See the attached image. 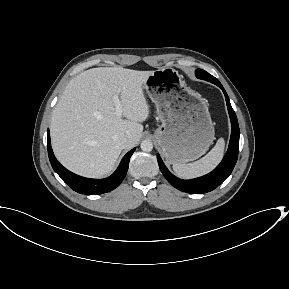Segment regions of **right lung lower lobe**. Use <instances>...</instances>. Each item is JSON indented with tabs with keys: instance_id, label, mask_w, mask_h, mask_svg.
Segmentation results:
<instances>
[{
	"instance_id": "right-lung-lower-lobe-1",
	"label": "right lung lower lobe",
	"mask_w": 289,
	"mask_h": 289,
	"mask_svg": "<svg viewBox=\"0 0 289 289\" xmlns=\"http://www.w3.org/2000/svg\"><path fill=\"white\" fill-rule=\"evenodd\" d=\"M47 148H48L49 160L54 171L62 178V180L70 188H72L74 191L78 193L86 194V195L103 194L118 187L119 184L124 179V177L126 176L130 157L135 151V148L129 151L121 160V163L118 166L117 170L108 178L89 179V178L78 176L68 171L57 161L51 148L49 130H48Z\"/></svg>"
}]
</instances>
